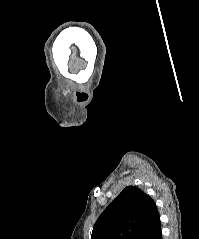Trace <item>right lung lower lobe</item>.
<instances>
[{
	"label": "right lung lower lobe",
	"mask_w": 199,
	"mask_h": 239,
	"mask_svg": "<svg viewBox=\"0 0 199 239\" xmlns=\"http://www.w3.org/2000/svg\"><path fill=\"white\" fill-rule=\"evenodd\" d=\"M141 239H162L160 220Z\"/></svg>",
	"instance_id": "98d812e1"
}]
</instances>
